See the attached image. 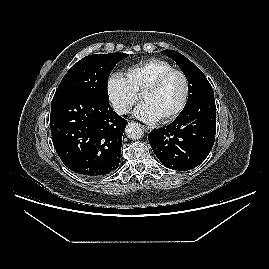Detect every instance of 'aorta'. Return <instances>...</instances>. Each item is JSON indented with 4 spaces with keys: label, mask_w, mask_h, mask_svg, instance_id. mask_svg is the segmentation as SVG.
<instances>
[{
    "label": "aorta",
    "mask_w": 269,
    "mask_h": 269,
    "mask_svg": "<svg viewBox=\"0 0 269 269\" xmlns=\"http://www.w3.org/2000/svg\"><path fill=\"white\" fill-rule=\"evenodd\" d=\"M125 132L127 137L132 140L139 139L144 134L141 124L135 122L129 123L126 127Z\"/></svg>",
    "instance_id": "762f6f07"
}]
</instances>
